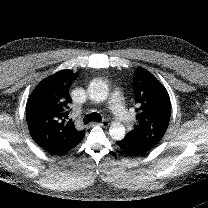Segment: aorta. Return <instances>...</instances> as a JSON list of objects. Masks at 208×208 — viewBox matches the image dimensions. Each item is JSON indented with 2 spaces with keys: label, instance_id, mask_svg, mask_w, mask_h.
<instances>
[{
  "label": "aorta",
  "instance_id": "aorta-1",
  "mask_svg": "<svg viewBox=\"0 0 208 208\" xmlns=\"http://www.w3.org/2000/svg\"><path fill=\"white\" fill-rule=\"evenodd\" d=\"M88 92L92 100L103 102L108 97L109 88L104 80L94 79L89 84ZM109 134L114 140H122L125 137V128L118 123H114L109 129Z\"/></svg>",
  "mask_w": 208,
  "mask_h": 208
}]
</instances>
